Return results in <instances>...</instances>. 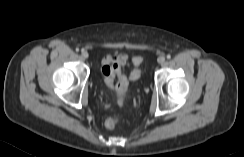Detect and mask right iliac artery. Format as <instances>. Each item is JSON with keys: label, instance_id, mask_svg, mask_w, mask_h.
<instances>
[{"label": "right iliac artery", "instance_id": "1", "mask_svg": "<svg viewBox=\"0 0 244 157\" xmlns=\"http://www.w3.org/2000/svg\"><path fill=\"white\" fill-rule=\"evenodd\" d=\"M76 51L79 52V49L77 48Z\"/></svg>", "mask_w": 244, "mask_h": 157}]
</instances>
